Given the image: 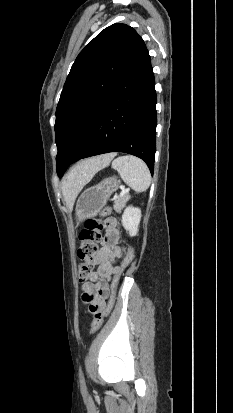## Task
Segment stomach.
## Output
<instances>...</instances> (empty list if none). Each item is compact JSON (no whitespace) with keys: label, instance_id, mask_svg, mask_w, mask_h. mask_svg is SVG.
<instances>
[{"label":"stomach","instance_id":"obj_1","mask_svg":"<svg viewBox=\"0 0 233 413\" xmlns=\"http://www.w3.org/2000/svg\"><path fill=\"white\" fill-rule=\"evenodd\" d=\"M119 181L114 178H106L99 184L86 189L79 197L76 204V223L97 216L103 207L106 205L107 200L113 192L117 190Z\"/></svg>","mask_w":233,"mask_h":413}]
</instances>
